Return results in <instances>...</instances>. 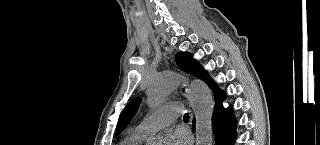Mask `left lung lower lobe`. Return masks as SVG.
<instances>
[{"label": "left lung lower lobe", "instance_id": "obj_1", "mask_svg": "<svg viewBox=\"0 0 320 145\" xmlns=\"http://www.w3.org/2000/svg\"><path fill=\"white\" fill-rule=\"evenodd\" d=\"M197 78L206 82L214 93L216 106L212 116V124L216 145H233L235 140L236 121L233 116L232 108L229 106L227 109H224L222 106L225 94L217 88L214 81L204 69H202ZM194 128L195 120H193V129Z\"/></svg>", "mask_w": 320, "mask_h": 145}]
</instances>
